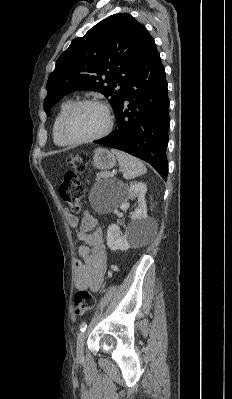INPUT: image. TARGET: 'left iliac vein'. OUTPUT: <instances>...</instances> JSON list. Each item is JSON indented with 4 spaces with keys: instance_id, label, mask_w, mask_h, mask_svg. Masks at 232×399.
I'll use <instances>...</instances> for the list:
<instances>
[{
    "instance_id": "1",
    "label": "left iliac vein",
    "mask_w": 232,
    "mask_h": 399,
    "mask_svg": "<svg viewBox=\"0 0 232 399\" xmlns=\"http://www.w3.org/2000/svg\"><path fill=\"white\" fill-rule=\"evenodd\" d=\"M77 337V343H76V353L77 356H84V349H83V345H84V339L86 336L85 332H79Z\"/></svg>"
}]
</instances>
